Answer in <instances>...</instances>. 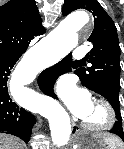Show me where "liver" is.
Segmentation results:
<instances>
[{
    "mask_svg": "<svg viewBox=\"0 0 124 149\" xmlns=\"http://www.w3.org/2000/svg\"><path fill=\"white\" fill-rule=\"evenodd\" d=\"M0 149H22V145L15 137L0 134Z\"/></svg>",
    "mask_w": 124,
    "mask_h": 149,
    "instance_id": "1",
    "label": "liver"
}]
</instances>
